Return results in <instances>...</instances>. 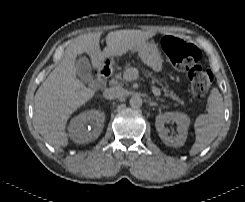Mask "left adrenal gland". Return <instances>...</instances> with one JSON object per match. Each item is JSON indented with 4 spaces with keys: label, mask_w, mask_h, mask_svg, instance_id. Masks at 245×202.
<instances>
[{
    "label": "left adrenal gland",
    "mask_w": 245,
    "mask_h": 202,
    "mask_svg": "<svg viewBox=\"0 0 245 202\" xmlns=\"http://www.w3.org/2000/svg\"><path fill=\"white\" fill-rule=\"evenodd\" d=\"M156 100H157V101H160V102H164V100H163V99H159V98H157Z\"/></svg>",
    "instance_id": "a2214340"
}]
</instances>
